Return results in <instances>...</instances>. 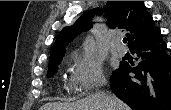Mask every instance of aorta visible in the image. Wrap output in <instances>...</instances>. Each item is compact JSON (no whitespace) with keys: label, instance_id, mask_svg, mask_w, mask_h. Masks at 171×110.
I'll return each instance as SVG.
<instances>
[{"label":"aorta","instance_id":"obj_1","mask_svg":"<svg viewBox=\"0 0 171 110\" xmlns=\"http://www.w3.org/2000/svg\"><path fill=\"white\" fill-rule=\"evenodd\" d=\"M84 52L86 55L91 56L95 51V43L93 39L88 38L83 44Z\"/></svg>","mask_w":171,"mask_h":110}]
</instances>
